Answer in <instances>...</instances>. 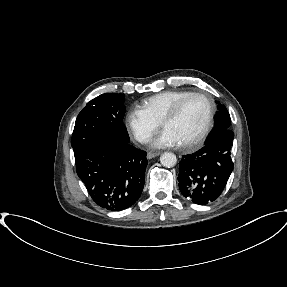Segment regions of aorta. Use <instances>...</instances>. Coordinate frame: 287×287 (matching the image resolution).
Segmentation results:
<instances>
[{
	"mask_svg": "<svg viewBox=\"0 0 287 287\" xmlns=\"http://www.w3.org/2000/svg\"><path fill=\"white\" fill-rule=\"evenodd\" d=\"M160 162L164 167L171 168L176 164L177 158L175 154L165 152L160 156Z\"/></svg>",
	"mask_w": 287,
	"mask_h": 287,
	"instance_id": "762f6f07",
	"label": "aorta"
}]
</instances>
